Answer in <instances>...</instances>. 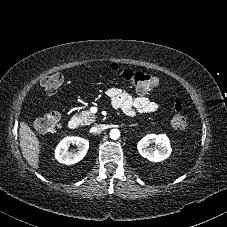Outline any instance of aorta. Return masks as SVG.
<instances>
[{"label": "aorta", "instance_id": "762f6f07", "mask_svg": "<svg viewBox=\"0 0 227 227\" xmlns=\"http://www.w3.org/2000/svg\"><path fill=\"white\" fill-rule=\"evenodd\" d=\"M120 137V131L118 129H112L110 131V138L116 140Z\"/></svg>", "mask_w": 227, "mask_h": 227}]
</instances>
